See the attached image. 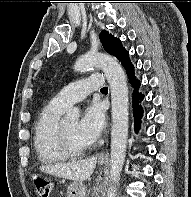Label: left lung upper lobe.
<instances>
[{
	"mask_svg": "<svg viewBox=\"0 0 191 197\" xmlns=\"http://www.w3.org/2000/svg\"><path fill=\"white\" fill-rule=\"evenodd\" d=\"M100 39L104 50L117 57L126 70L133 67L129 60V53L122 46L121 41L118 38H115L111 34L109 35L107 32L103 31L100 34Z\"/></svg>",
	"mask_w": 191,
	"mask_h": 197,
	"instance_id": "1",
	"label": "left lung upper lobe"
}]
</instances>
